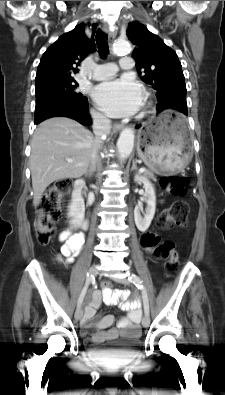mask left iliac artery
<instances>
[{
    "label": "left iliac artery",
    "mask_w": 225,
    "mask_h": 395,
    "mask_svg": "<svg viewBox=\"0 0 225 395\" xmlns=\"http://www.w3.org/2000/svg\"><path fill=\"white\" fill-rule=\"evenodd\" d=\"M129 281L132 282L138 289L142 291V298H143V304H144V312L145 314L149 315V301H148V296L146 293V290L142 284L141 279L136 275L132 274L129 277Z\"/></svg>",
    "instance_id": "obj_1"
}]
</instances>
